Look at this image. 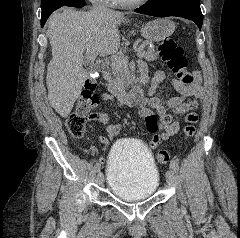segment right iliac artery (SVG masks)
I'll return each instance as SVG.
<instances>
[{
	"label": "right iliac artery",
	"instance_id": "right-iliac-artery-1",
	"mask_svg": "<svg viewBox=\"0 0 240 238\" xmlns=\"http://www.w3.org/2000/svg\"><path fill=\"white\" fill-rule=\"evenodd\" d=\"M101 168V165L99 163H96L94 166L95 171H99Z\"/></svg>",
	"mask_w": 240,
	"mask_h": 238
}]
</instances>
